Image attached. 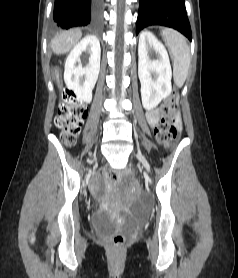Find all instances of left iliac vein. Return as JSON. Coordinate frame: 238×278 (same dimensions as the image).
Returning a JSON list of instances; mask_svg holds the SVG:
<instances>
[{
    "label": "left iliac vein",
    "mask_w": 238,
    "mask_h": 278,
    "mask_svg": "<svg viewBox=\"0 0 238 278\" xmlns=\"http://www.w3.org/2000/svg\"><path fill=\"white\" fill-rule=\"evenodd\" d=\"M137 158L141 161L146 170L150 171V165L147 159L142 154H137Z\"/></svg>",
    "instance_id": "left-iliac-vein-1"
}]
</instances>
